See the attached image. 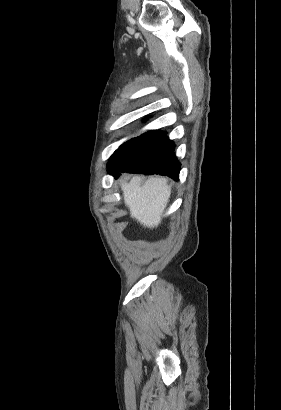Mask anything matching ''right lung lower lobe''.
<instances>
[{"label": "right lung lower lobe", "mask_w": 281, "mask_h": 410, "mask_svg": "<svg viewBox=\"0 0 281 410\" xmlns=\"http://www.w3.org/2000/svg\"><path fill=\"white\" fill-rule=\"evenodd\" d=\"M166 135L165 131H151L109 174L116 178L119 172L160 174L179 180L175 145Z\"/></svg>", "instance_id": "1"}]
</instances>
